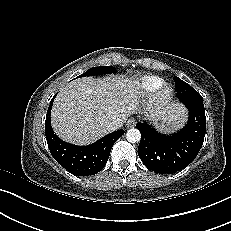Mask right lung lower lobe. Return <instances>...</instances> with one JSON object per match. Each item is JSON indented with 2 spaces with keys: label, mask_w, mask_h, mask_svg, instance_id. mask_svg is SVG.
Returning a JSON list of instances; mask_svg holds the SVG:
<instances>
[{
  "label": "right lung lower lobe",
  "mask_w": 231,
  "mask_h": 231,
  "mask_svg": "<svg viewBox=\"0 0 231 231\" xmlns=\"http://www.w3.org/2000/svg\"><path fill=\"white\" fill-rule=\"evenodd\" d=\"M54 97L50 102L45 121L46 140L52 156L63 168L74 175L97 174L106 165L113 144L124 134V130L112 132L88 146L66 143L54 133L51 127L50 114Z\"/></svg>",
  "instance_id": "right-lung-lower-lobe-1"
}]
</instances>
